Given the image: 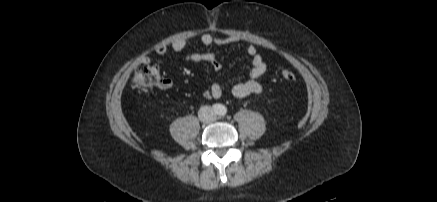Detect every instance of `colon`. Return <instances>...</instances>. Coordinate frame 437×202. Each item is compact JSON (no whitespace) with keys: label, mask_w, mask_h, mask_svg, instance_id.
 Listing matches in <instances>:
<instances>
[{"label":"colon","mask_w":437,"mask_h":202,"mask_svg":"<svg viewBox=\"0 0 437 202\" xmlns=\"http://www.w3.org/2000/svg\"><path fill=\"white\" fill-rule=\"evenodd\" d=\"M282 78L291 82L296 80V75L289 71L282 72ZM165 78L162 76L160 69L156 65L147 62L139 64L134 71L132 86L138 90H147L154 87H161Z\"/></svg>","instance_id":"1"}]
</instances>
